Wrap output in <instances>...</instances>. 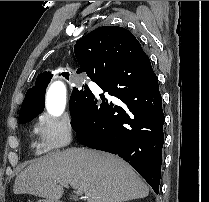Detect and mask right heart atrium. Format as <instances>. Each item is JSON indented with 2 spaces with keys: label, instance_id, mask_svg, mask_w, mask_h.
<instances>
[{
  "label": "right heart atrium",
  "instance_id": "right-heart-atrium-1",
  "mask_svg": "<svg viewBox=\"0 0 209 202\" xmlns=\"http://www.w3.org/2000/svg\"><path fill=\"white\" fill-rule=\"evenodd\" d=\"M34 133L36 149L42 152L63 148L73 139V127L68 117L41 114L36 120Z\"/></svg>",
  "mask_w": 209,
  "mask_h": 202
}]
</instances>
